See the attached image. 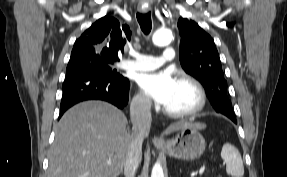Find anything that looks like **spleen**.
I'll list each match as a JSON object with an SVG mask.
<instances>
[{"mask_svg": "<svg viewBox=\"0 0 287 177\" xmlns=\"http://www.w3.org/2000/svg\"><path fill=\"white\" fill-rule=\"evenodd\" d=\"M221 158L226 163V172L232 177H243L244 166L238 149L230 143H225L221 150Z\"/></svg>", "mask_w": 287, "mask_h": 177, "instance_id": "1", "label": "spleen"}]
</instances>
